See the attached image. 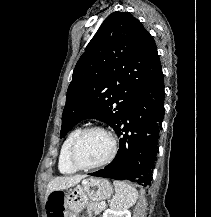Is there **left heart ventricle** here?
Returning <instances> with one entry per match:
<instances>
[{
  "label": "left heart ventricle",
  "instance_id": "1",
  "mask_svg": "<svg viewBox=\"0 0 211 217\" xmlns=\"http://www.w3.org/2000/svg\"><path fill=\"white\" fill-rule=\"evenodd\" d=\"M111 150V141L101 131L87 133L77 149V159L81 164L90 165L104 160Z\"/></svg>",
  "mask_w": 211,
  "mask_h": 217
}]
</instances>
